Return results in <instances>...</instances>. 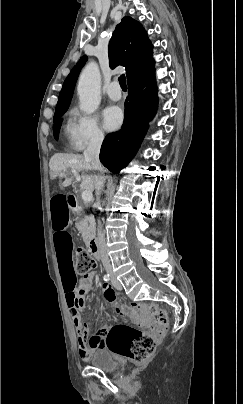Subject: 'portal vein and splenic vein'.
<instances>
[{"mask_svg":"<svg viewBox=\"0 0 243 404\" xmlns=\"http://www.w3.org/2000/svg\"><path fill=\"white\" fill-rule=\"evenodd\" d=\"M72 174H75L77 182H80V176H78L77 172L75 170H72ZM61 176H64V174H61ZM82 200L84 204H88V202H91L93 200L92 192H88V190H84L82 192Z\"/></svg>","mask_w":243,"mask_h":404,"instance_id":"obj_1","label":"portal vein and splenic vein"}]
</instances>
